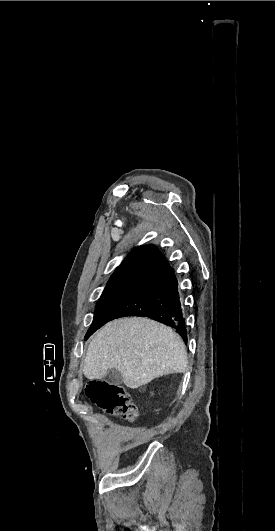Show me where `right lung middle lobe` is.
I'll list each match as a JSON object with an SVG mask.
<instances>
[{
    "instance_id": "obj_1",
    "label": "right lung middle lobe",
    "mask_w": 275,
    "mask_h": 531,
    "mask_svg": "<svg viewBox=\"0 0 275 531\" xmlns=\"http://www.w3.org/2000/svg\"><path fill=\"white\" fill-rule=\"evenodd\" d=\"M144 270H130L113 274L105 287L98 303L92 325L85 335V339L94 333L100 326L107 311L140 277Z\"/></svg>"
}]
</instances>
